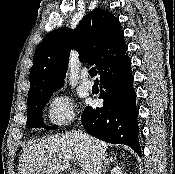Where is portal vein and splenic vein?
<instances>
[{
	"label": "portal vein and splenic vein",
	"instance_id": "1",
	"mask_svg": "<svg viewBox=\"0 0 175 174\" xmlns=\"http://www.w3.org/2000/svg\"><path fill=\"white\" fill-rule=\"evenodd\" d=\"M69 159L73 160V161H76V158H73V157H69ZM79 174H84L83 171H80Z\"/></svg>",
	"mask_w": 175,
	"mask_h": 174
}]
</instances>
